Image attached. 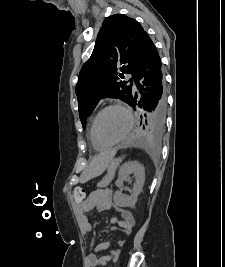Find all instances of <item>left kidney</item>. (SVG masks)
<instances>
[{"label": "left kidney", "mask_w": 225, "mask_h": 267, "mask_svg": "<svg viewBox=\"0 0 225 267\" xmlns=\"http://www.w3.org/2000/svg\"><path fill=\"white\" fill-rule=\"evenodd\" d=\"M133 174L135 177V183L133 187V193L130 196H124L120 191L114 193V203L119 207H133L137 202L138 195L142 192V188L145 180V169L139 162H126L119 170L116 186L120 188L123 182Z\"/></svg>", "instance_id": "1"}]
</instances>
